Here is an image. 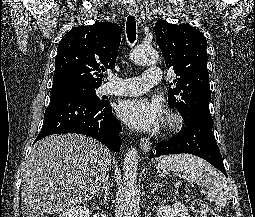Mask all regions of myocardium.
Returning <instances> with one entry per match:
<instances>
[{"mask_svg":"<svg viewBox=\"0 0 255 217\" xmlns=\"http://www.w3.org/2000/svg\"><path fill=\"white\" fill-rule=\"evenodd\" d=\"M184 124V119L182 115L177 111H170L167 120L166 128L168 131H178L182 128Z\"/></svg>","mask_w":255,"mask_h":217,"instance_id":"f54148a6","label":"myocardium"}]
</instances>
